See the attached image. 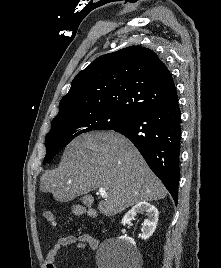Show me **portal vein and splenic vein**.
<instances>
[{"label":"portal vein and splenic vein","instance_id":"portal-vein-and-splenic-vein-1","mask_svg":"<svg viewBox=\"0 0 221 268\" xmlns=\"http://www.w3.org/2000/svg\"><path fill=\"white\" fill-rule=\"evenodd\" d=\"M99 193H100L101 197H103V198L107 197V193H106L105 189L99 188Z\"/></svg>","mask_w":221,"mask_h":268}]
</instances>
